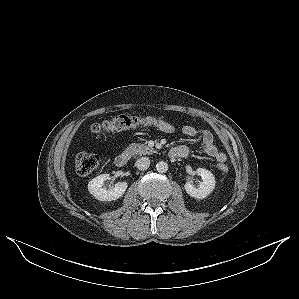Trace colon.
Here are the masks:
<instances>
[{"instance_id": "obj_1", "label": "colon", "mask_w": 299, "mask_h": 299, "mask_svg": "<svg viewBox=\"0 0 299 299\" xmlns=\"http://www.w3.org/2000/svg\"><path fill=\"white\" fill-rule=\"evenodd\" d=\"M139 126L154 127L166 134H174L177 130L175 125L164 119L155 117H137L122 114L110 120L92 124L90 127V132L94 135H99L102 132L128 130ZM98 164V156L92 153L80 152L74 157L75 172L80 176L89 175L97 168ZM218 168L222 172L228 171L226 164H219Z\"/></svg>"}]
</instances>
